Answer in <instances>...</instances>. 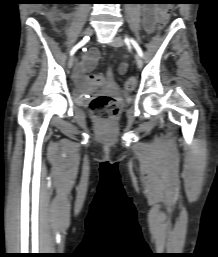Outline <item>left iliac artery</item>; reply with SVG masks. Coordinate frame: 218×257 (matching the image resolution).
Returning <instances> with one entry per match:
<instances>
[{"mask_svg": "<svg viewBox=\"0 0 218 257\" xmlns=\"http://www.w3.org/2000/svg\"><path fill=\"white\" fill-rule=\"evenodd\" d=\"M125 41H126L127 43H131V44L133 45V47L136 49L138 55H139L140 57H143L142 49H141V47L139 46V44H138L134 39L125 37Z\"/></svg>", "mask_w": 218, "mask_h": 257, "instance_id": "1", "label": "left iliac artery"}]
</instances>
